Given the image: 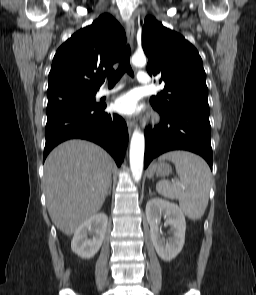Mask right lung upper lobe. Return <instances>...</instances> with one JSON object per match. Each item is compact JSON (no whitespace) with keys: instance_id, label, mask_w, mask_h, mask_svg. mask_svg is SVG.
I'll use <instances>...</instances> for the list:
<instances>
[{"instance_id":"obj_1","label":"right lung upper lobe","mask_w":256,"mask_h":295,"mask_svg":"<svg viewBox=\"0 0 256 295\" xmlns=\"http://www.w3.org/2000/svg\"><path fill=\"white\" fill-rule=\"evenodd\" d=\"M125 42V31L109 14L74 33L53 58L48 99L69 92H97L104 75L114 72Z\"/></svg>"}]
</instances>
